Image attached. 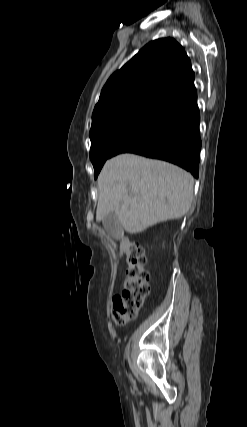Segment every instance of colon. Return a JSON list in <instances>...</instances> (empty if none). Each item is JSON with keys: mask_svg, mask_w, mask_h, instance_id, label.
<instances>
[{"mask_svg": "<svg viewBox=\"0 0 247 427\" xmlns=\"http://www.w3.org/2000/svg\"><path fill=\"white\" fill-rule=\"evenodd\" d=\"M120 253L126 257L128 267L123 291L113 298L112 315L118 325L125 324L137 316L150 289L143 247L137 242L123 238L120 241Z\"/></svg>", "mask_w": 247, "mask_h": 427, "instance_id": "colon-1", "label": "colon"}]
</instances>
